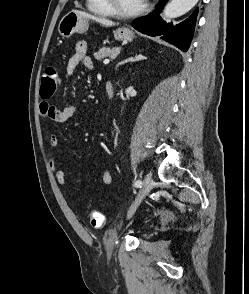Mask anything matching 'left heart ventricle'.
Masks as SVG:
<instances>
[{
    "mask_svg": "<svg viewBox=\"0 0 249 294\" xmlns=\"http://www.w3.org/2000/svg\"><path fill=\"white\" fill-rule=\"evenodd\" d=\"M119 7L126 11H132L140 8L144 1L143 0H117Z\"/></svg>",
    "mask_w": 249,
    "mask_h": 294,
    "instance_id": "b2bd125f",
    "label": "left heart ventricle"
}]
</instances>
